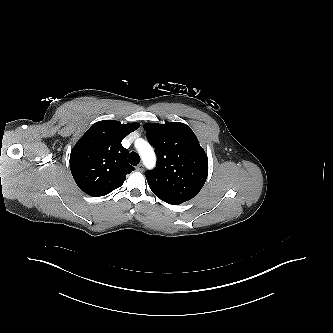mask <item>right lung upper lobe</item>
<instances>
[{
  "label": "right lung upper lobe",
  "mask_w": 333,
  "mask_h": 333,
  "mask_svg": "<svg viewBox=\"0 0 333 333\" xmlns=\"http://www.w3.org/2000/svg\"><path fill=\"white\" fill-rule=\"evenodd\" d=\"M139 127L138 123L104 120L86 131L70 154V170L82 191L100 197L122 186L134 167L128 164V150L121 141Z\"/></svg>",
  "instance_id": "right-lung-upper-lobe-1"
}]
</instances>
